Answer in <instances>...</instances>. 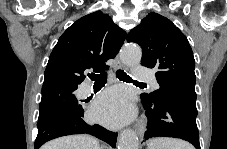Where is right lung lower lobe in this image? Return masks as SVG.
I'll use <instances>...</instances> for the list:
<instances>
[{"label":"right lung lower lobe","mask_w":227,"mask_h":149,"mask_svg":"<svg viewBox=\"0 0 227 149\" xmlns=\"http://www.w3.org/2000/svg\"><path fill=\"white\" fill-rule=\"evenodd\" d=\"M84 110H62L38 120V135L35 140V149L40 148L45 142L57 137L72 134L93 135L113 148L116 146L117 133L108 131L99 125L90 126L82 119Z\"/></svg>","instance_id":"98d812e1"}]
</instances>
